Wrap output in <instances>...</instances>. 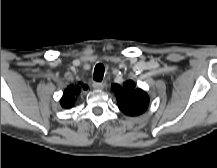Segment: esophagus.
<instances>
[{
    "label": "esophagus",
    "instance_id": "34e87169",
    "mask_svg": "<svg viewBox=\"0 0 217 168\" xmlns=\"http://www.w3.org/2000/svg\"><path fill=\"white\" fill-rule=\"evenodd\" d=\"M92 86L93 88L97 90H102L106 86V83L105 82H94Z\"/></svg>",
    "mask_w": 217,
    "mask_h": 168
}]
</instances>
